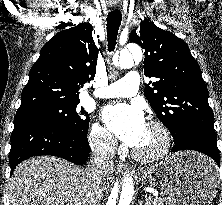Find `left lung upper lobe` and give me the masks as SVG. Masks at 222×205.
I'll use <instances>...</instances> for the list:
<instances>
[{"mask_svg": "<svg viewBox=\"0 0 222 205\" xmlns=\"http://www.w3.org/2000/svg\"><path fill=\"white\" fill-rule=\"evenodd\" d=\"M129 40L145 50L144 73L157 79L147 85L145 97L173 138L191 127L214 129L207 86L188 45L147 20Z\"/></svg>", "mask_w": 222, "mask_h": 205, "instance_id": "1", "label": "left lung upper lobe"}]
</instances>
